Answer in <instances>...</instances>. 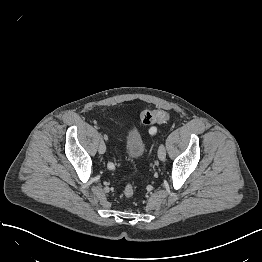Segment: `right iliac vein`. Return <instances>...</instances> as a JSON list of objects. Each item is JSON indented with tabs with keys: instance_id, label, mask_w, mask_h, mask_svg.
I'll return each mask as SVG.
<instances>
[{
	"instance_id": "63e3f726",
	"label": "right iliac vein",
	"mask_w": 262,
	"mask_h": 262,
	"mask_svg": "<svg viewBox=\"0 0 262 262\" xmlns=\"http://www.w3.org/2000/svg\"><path fill=\"white\" fill-rule=\"evenodd\" d=\"M105 151H106V145H105L104 141L101 140L100 143H99V146H98V152L100 154H104Z\"/></svg>"
}]
</instances>
